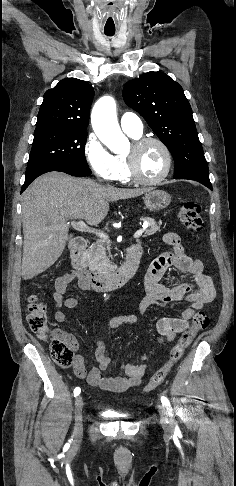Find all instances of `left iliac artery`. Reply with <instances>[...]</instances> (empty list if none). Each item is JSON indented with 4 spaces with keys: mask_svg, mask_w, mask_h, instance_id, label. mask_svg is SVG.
Masks as SVG:
<instances>
[{
    "mask_svg": "<svg viewBox=\"0 0 236 486\" xmlns=\"http://www.w3.org/2000/svg\"><path fill=\"white\" fill-rule=\"evenodd\" d=\"M161 402H162V404H163L164 406H166V407H169V408H170V402H169V400H168V399H167L165 396H162V397H161ZM175 430H176V432H179V428H178V426H176Z\"/></svg>",
    "mask_w": 236,
    "mask_h": 486,
    "instance_id": "44dca946",
    "label": "left iliac artery"
}]
</instances>
